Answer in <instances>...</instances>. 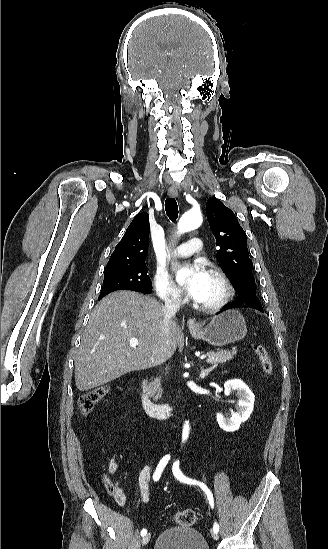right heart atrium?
I'll list each match as a JSON object with an SVG mask.
<instances>
[{"label":"right heart atrium","instance_id":"right-heart-atrium-1","mask_svg":"<svg viewBox=\"0 0 328 549\" xmlns=\"http://www.w3.org/2000/svg\"><path fill=\"white\" fill-rule=\"evenodd\" d=\"M153 287L163 303H183V299L174 287L169 274L157 265L153 276Z\"/></svg>","mask_w":328,"mask_h":549}]
</instances>
